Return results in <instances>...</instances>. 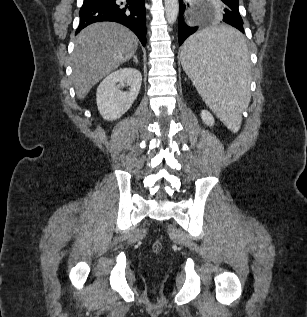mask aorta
I'll use <instances>...</instances> for the list:
<instances>
[{
    "mask_svg": "<svg viewBox=\"0 0 307 317\" xmlns=\"http://www.w3.org/2000/svg\"><path fill=\"white\" fill-rule=\"evenodd\" d=\"M165 16L168 24H174L178 17L179 1L178 0H164Z\"/></svg>",
    "mask_w": 307,
    "mask_h": 317,
    "instance_id": "762f6f07",
    "label": "aorta"
}]
</instances>
